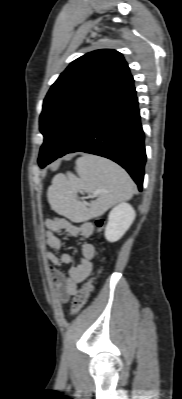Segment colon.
Returning a JSON list of instances; mask_svg holds the SVG:
<instances>
[{
	"instance_id": "obj_1",
	"label": "colon",
	"mask_w": 182,
	"mask_h": 399,
	"mask_svg": "<svg viewBox=\"0 0 182 399\" xmlns=\"http://www.w3.org/2000/svg\"><path fill=\"white\" fill-rule=\"evenodd\" d=\"M95 224L98 228H101L103 226V221L101 219H97L95 221ZM98 271L99 269L96 270V272ZM93 281H94V276L91 277L88 281H86L82 285V287L78 290L71 306L72 314H76L85 306L88 297L90 295V292L92 291L93 288Z\"/></svg>"
}]
</instances>
